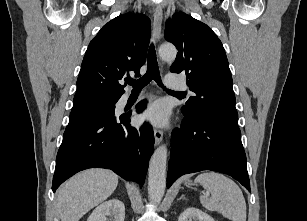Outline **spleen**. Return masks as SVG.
<instances>
[{"instance_id": "obj_1", "label": "spleen", "mask_w": 307, "mask_h": 221, "mask_svg": "<svg viewBox=\"0 0 307 221\" xmlns=\"http://www.w3.org/2000/svg\"><path fill=\"white\" fill-rule=\"evenodd\" d=\"M211 196L200 195V202L210 211L220 212L232 221H246V202L239 186L228 177L217 172H204L196 177Z\"/></svg>"}]
</instances>
